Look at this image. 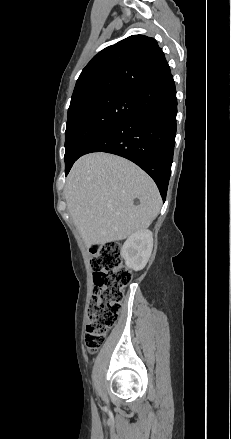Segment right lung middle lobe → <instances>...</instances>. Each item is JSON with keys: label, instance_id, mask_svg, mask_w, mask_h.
<instances>
[{"label": "right lung middle lobe", "instance_id": "obj_1", "mask_svg": "<svg viewBox=\"0 0 231 439\" xmlns=\"http://www.w3.org/2000/svg\"><path fill=\"white\" fill-rule=\"evenodd\" d=\"M138 111L134 93L94 97L68 110L65 165L78 159L82 147L99 131Z\"/></svg>", "mask_w": 231, "mask_h": 439}]
</instances>
